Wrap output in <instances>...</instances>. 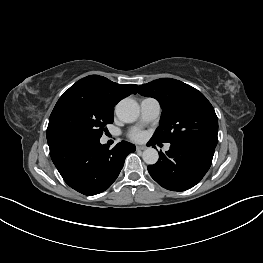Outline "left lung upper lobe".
Segmentation results:
<instances>
[{
    "mask_svg": "<svg viewBox=\"0 0 263 263\" xmlns=\"http://www.w3.org/2000/svg\"><path fill=\"white\" fill-rule=\"evenodd\" d=\"M136 92L157 99L160 126L152 140L217 145L218 119L214 108L197 89L179 80L161 78L138 86Z\"/></svg>",
    "mask_w": 263,
    "mask_h": 263,
    "instance_id": "obj_1",
    "label": "left lung upper lobe"
}]
</instances>
